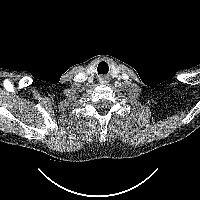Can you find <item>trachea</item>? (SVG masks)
<instances>
[{"mask_svg":"<svg viewBox=\"0 0 200 200\" xmlns=\"http://www.w3.org/2000/svg\"><path fill=\"white\" fill-rule=\"evenodd\" d=\"M109 68H108V64L106 62H101L98 65V74H106L108 72Z\"/></svg>","mask_w":200,"mask_h":200,"instance_id":"3493384b","label":"trachea"}]
</instances>
